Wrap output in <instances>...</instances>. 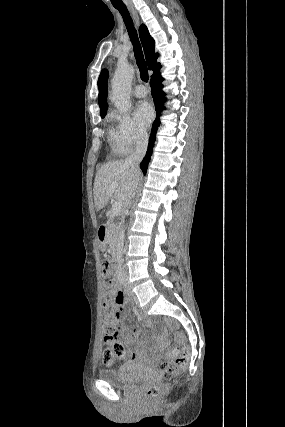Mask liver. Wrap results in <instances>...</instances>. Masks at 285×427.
I'll return each instance as SVG.
<instances>
[{
	"label": "liver",
	"mask_w": 285,
	"mask_h": 427,
	"mask_svg": "<svg viewBox=\"0 0 285 427\" xmlns=\"http://www.w3.org/2000/svg\"><path fill=\"white\" fill-rule=\"evenodd\" d=\"M141 173H135L131 166L123 160L112 161L104 164L97 171L94 181V203L97 210H101L108 203L113 192L112 184H117L115 197L127 206L133 197L134 186L139 182Z\"/></svg>",
	"instance_id": "6515ba94"
}]
</instances>
